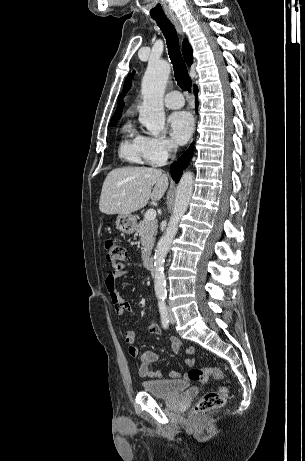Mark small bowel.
Returning <instances> with one entry per match:
<instances>
[{
  "mask_svg": "<svg viewBox=\"0 0 305 461\" xmlns=\"http://www.w3.org/2000/svg\"><path fill=\"white\" fill-rule=\"evenodd\" d=\"M128 267H138L137 263H129ZM128 274L127 268H118L110 272L105 279V288L109 295L110 301L113 305V310L116 316L120 319H124L127 314L132 313L133 309L131 304L126 301L118 291L117 284L118 280ZM148 329L150 332L157 333L159 331L158 326L153 322H148ZM124 341L127 345L128 352L131 356L136 357L139 355V349L135 344V333L132 330H127L124 334ZM170 347L173 353H178L181 347V342L177 337H171L169 339ZM195 352V348L190 346L185 349L187 355H192ZM160 355L154 351H146L141 357V363L138 369L140 377L143 378H160L163 373L158 370H152L150 365L159 359ZM184 363L188 367H193L196 363L195 358L187 357ZM180 374L172 372L171 377H179Z\"/></svg>",
  "mask_w": 305,
  "mask_h": 461,
  "instance_id": "1",
  "label": "small bowel"
}]
</instances>
